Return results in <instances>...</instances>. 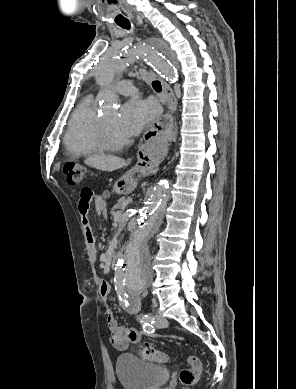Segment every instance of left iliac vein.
<instances>
[{
    "mask_svg": "<svg viewBox=\"0 0 296 389\" xmlns=\"http://www.w3.org/2000/svg\"><path fill=\"white\" fill-rule=\"evenodd\" d=\"M168 325V321L159 313L155 315V326L164 328Z\"/></svg>",
    "mask_w": 296,
    "mask_h": 389,
    "instance_id": "4c4485c4",
    "label": "left iliac vein"
}]
</instances>
